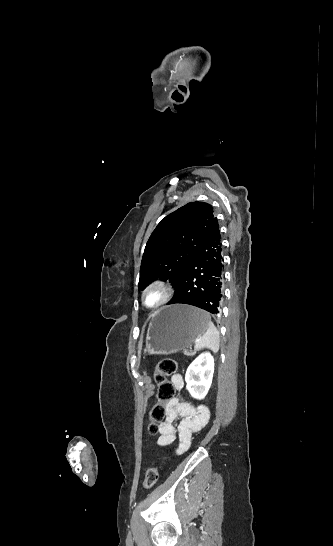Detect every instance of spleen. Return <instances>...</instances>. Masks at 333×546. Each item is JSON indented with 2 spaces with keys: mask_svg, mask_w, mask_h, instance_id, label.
I'll use <instances>...</instances> for the list:
<instances>
[{
  "mask_svg": "<svg viewBox=\"0 0 333 546\" xmlns=\"http://www.w3.org/2000/svg\"><path fill=\"white\" fill-rule=\"evenodd\" d=\"M220 337L219 332L213 322L211 321L210 316L208 315V324L205 334L200 337L194 346L195 350L209 349L214 353L219 350Z\"/></svg>",
  "mask_w": 333,
  "mask_h": 546,
  "instance_id": "obj_1",
  "label": "spleen"
}]
</instances>
